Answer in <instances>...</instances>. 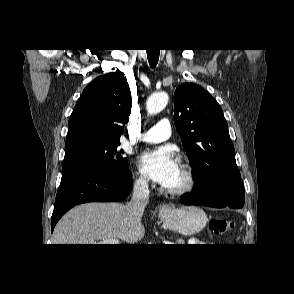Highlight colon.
I'll use <instances>...</instances> for the list:
<instances>
[{"label":"colon","mask_w":294,"mask_h":294,"mask_svg":"<svg viewBox=\"0 0 294 294\" xmlns=\"http://www.w3.org/2000/svg\"><path fill=\"white\" fill-rule=\"evenodd\" d=\"M235 226L234 222L221 218H214L208 224L209 231L215 235L224 234Z\"/></svg>","instance_id":"1"}]
</instances>
